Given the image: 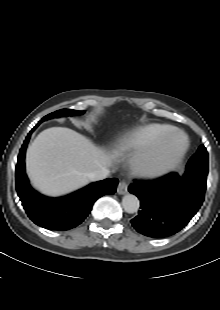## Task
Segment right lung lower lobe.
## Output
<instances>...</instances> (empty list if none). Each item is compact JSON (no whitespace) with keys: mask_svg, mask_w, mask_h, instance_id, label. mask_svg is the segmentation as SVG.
Returning a JSON list of instances; mask_svg holds the SVG:
<instances>
[{"mask_svg":"<svg viewBox=\"0 0 220 310\" xmlns=\"http://www.w3.org/2000/svg\"><path fill=\"white\" fill-rule=\"evenodd\" d=\"M26 137L16 165V190L28 217L38 226L49 230H70L84 221L94 202L105 194H114L118 179L111 178L92 183L70 195L49 198L36 192L25 173V152L31 133Z\"/></svg>","mask_w":220,"mask_h":310,"instance_id":"98d812e1","label":"right lung lower lobe"}]
</instances>
